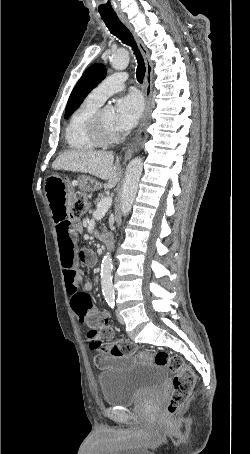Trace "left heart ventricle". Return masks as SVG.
<instances>
[{"mask_svg": "<svg viewBox=\"0 0 250 454\" xmlns=\"http://www.w3.org/2000/svg\"><path fill=\"white\" fill-rule=\"evenodd\" d=\"M102 123L107 131L109 132H117L114 126V113L112 111L103 110L102 111Z\"/></svg>", "mask_w": 250, "mask_h": 454, "instance_id": "b2bd125f", "label": "left heart ventricle"}]
</instances>
